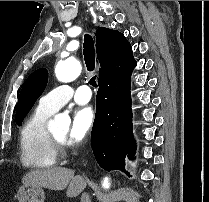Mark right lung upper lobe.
<instances>
[{
  "mask_svg": "<svg viewBox=\"0 0 209 202\" xmlns=\"http://www.w3.org/2000/svg\"><path fill=\"white\" fill-rule=\"evenodd\" d=\"M96 52L101 65L99 85L113 88L130 82L136 61L131 45L122 33L104 27L98 28Z\"/></svg>",
  "mask_w": 209,
  "mask_h": 202,
  "instance_id": "cb5924a9",
  "label": "right lung upper lobe"
}]
</instances>
